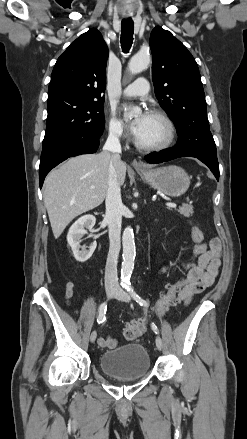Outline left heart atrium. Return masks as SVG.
<instances>
[{
	"label": "left heart atrium",
	"instance_id": "obj_1",
	"mask_svg": "<svg viewBox=\"0 0 247 439\" xmlns=\"http://www.w3.org/2000/svg\"><path fill=\"white\" fill-rule=\"evenodd\" d=\"M146 119L147 115H142L130 125V129L136 138L142 132Z\"/></svg>",
	"mask_w": 247,
	"mask_h": 439
}]
</instances>
